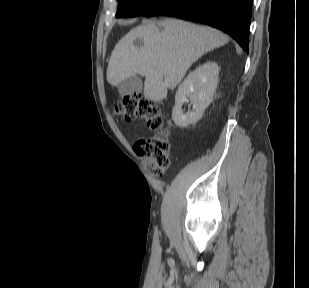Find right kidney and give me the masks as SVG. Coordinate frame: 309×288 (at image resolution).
<instances>
[{"mask_svg": "<svg viewBox=\"0 0 309 288\" xmlns=\"http://www.w3.org/2000/svg\"><path fill=\"white\" fill-rule=\"evenodd\" d=\"M218 75V65L215 62H207L191 72L179 85L172 110V119L178 127H187L202 117L205 109L213 100L219 81ZM188 97L193 110L184 114L182 106L189 101Z\"/></svg>", "mask_w": 309, "mask_h": 288, "instance_id": "ca27d5eb", "label": "right kidney"}]
</instances>
